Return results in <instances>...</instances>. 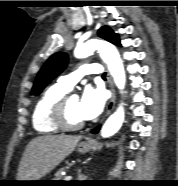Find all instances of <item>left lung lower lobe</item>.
<instances>
[{
  "instance_id": "1",
  "label": "left lung lower lobe",
  "mask_w": 178,
  "mask_h": 186,
  "mask_svg": "<svg viewBox=\"0 0 178 186\" xmlns=\"http://www.w3.org/2000/svg\"><path fill=\"white\" fill-rule=\"evenodd\" d=\"M99 128H100V126H98L97 128H95V129L92 131V133H97L98 130H99Z\"/></svg>"
}]
</instances>
